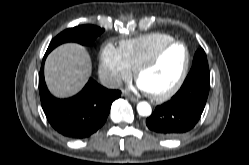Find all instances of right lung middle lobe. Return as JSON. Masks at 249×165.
I'll return each mask as SVG.
<instances>
[{"label":"right lung middle lobe","instance_id":"obj_1","mask_svg":"<svg viewBox=\"0 0 249 165\" xmlns=\"http://www.w3.org/2000/svg\"><path fill=\"white\" fill-rule=\"evenodd\" d=\"M103 31L104 29L93 25H80L67 29L51 41L47 52L49 53L55 47L65 42H77L82 45H90Z\"/></svg>","mask_w":249,"mask_h":165}]
</instances>
